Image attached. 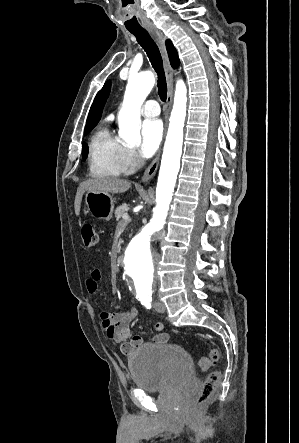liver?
<instances>
[{"label":"liver","instance_id":"6515ba94","mask_svg":"<svg viewBox=\"0 0 299 443\" xmlns=\"http://www.w3.org/2000/svg\"><path fill=\"white\" fill-rule=\"evenodd\" d=\"M131 187V183L123 179L115 178H96L82 182L75 196L74 209L75 214L79 216L83 194L87 191L107 194L124 193Z\"/></svg>","mask_w":299,"mask_h":443}]
</instances>
